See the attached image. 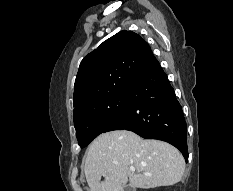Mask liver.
Returning <instances> with one entry per match:
<instances>
[{
    "mask_svg": "<svg viewBox=\"0 0 233 191\" xmlns=\"http://www.w3.org/2000/svg\"><path fill=\"white\" fill-rule=\"evenodd\" d=\"M184 170L185 160L177 148L128 130L100 134L86 152L84 167L90 191H123L128 181L133 188L170 186L181 181Z\"/></svg>",
    "mask_w": 233,
    "mask_h": 191,
    "instance_id": "obj_1",
    "label": "liver"
}]
</instances>
